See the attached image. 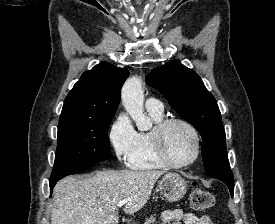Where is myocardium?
<instances>
[{
    "label": "myocardium",
    "mask_w": 275,
    "mask_h": 224,
    "mask_svg": "<svg viewBox=\"0 0 275 224\" xmlns=\"http://www.w3.org/2000/svg\"><path fill=\"white\" fill-rule=\"evenodd\" d=\"M172 124H181L185 126L193 135L195 142V152L193 157L187 162L175 163L169 158V156L166 153L164 145V134L167 128ZM149 140L156 160L160 164L168 168L182 169L189 167L197 161L201 153V139L198 130L191 122L180 117H168L156 123L149 133Z\"/></svg>",
    "instance_id": "myocardium-1"
}]
</instances>
